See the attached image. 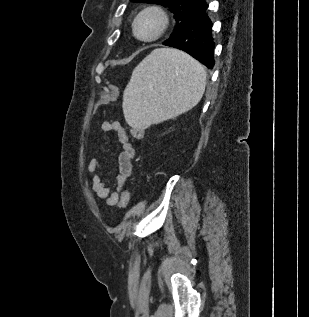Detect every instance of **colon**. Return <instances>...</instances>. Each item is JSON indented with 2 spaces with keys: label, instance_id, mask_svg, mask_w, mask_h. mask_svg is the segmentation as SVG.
I'll return each instance as SVG.
<instances>
[{
  "label": "colon",
  "instance_id": "colon-1",
  "mask_svg": "<svg viewBox=\"0 0 309 317\" xmlns=\"http://www.w3.org/2000/svg\"><path fill=\"white\" fill-rule=\"evenodd\" d=\"M133 136L135 138H141L143 136V130L139 128L133 129ZM130 202V193L128 189H124L123 192L121 193V198H120V205L123 208H126L129 205Z\"/></svg>",
  "mask_w": 309,
  "mask_h": 317
}]
</instances>
